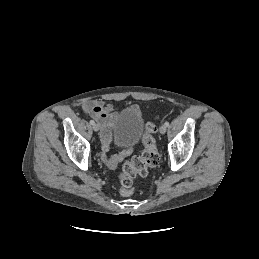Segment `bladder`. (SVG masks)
Listing matches in <instances>:
<instances>
[{"label":"bladder","instance_id":"31cf9c89","mask_svg":"<svg viewBox=\"0 0 259 259\" xmlns=\"http://www.w3.org/2000/svg\"><path fill=\"white\" fill-rule=\"evenodd\" d=\"M144 133V120L140 114L130 111L119 113L114 120V143L118 146H133Z\"/></svg>","mask_w":259,"mask_h":259}]
</instances>
